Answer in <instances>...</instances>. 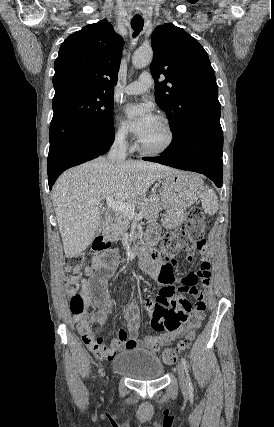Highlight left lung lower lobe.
Wrapping results in <instances>:
<instances>
[{
    "instance_id": "left-lung-lower-lobe-1",
    "label": "left lung lower lobe",
    "mask_w": 274,
    "mask_h": 427,
    "mask_svg": "<svg viewBox=\"0 0 274 427\" xmlns=\"http://www.w3.org/2000/svg\"><path fill=\"white\" fill-rule=\"evenodd\" d=\"M222 152L221 126L202 124L194 128L182 141L170 144L162 156L144 157L143 160L202 173L220 188L223 179Z\"/></svg>"
}]
</instances>
